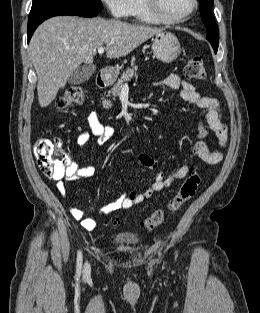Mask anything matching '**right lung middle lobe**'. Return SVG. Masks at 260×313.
Masks as SVG:
<instances>
[{
  "label": "right lung middle lobe",
  "mask_w": 260,
  "mask_h": 313,
  "mask_svg": "<svg viewBox=\"0 0 260 313\" xmlns=\"http://www.w3.org/2000/svg\"><path fill=\"white\" fill-rule=\"evenodd\" d=\"M41 8L77 9L100 12L103 5L101 0H33L31 10Z\"/></svg>",
  "instance_id": "obj_1"
}]
</instances>
